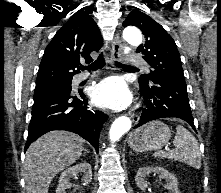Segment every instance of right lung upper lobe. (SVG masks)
Returning a JSON list of instances; mask_svg holds the SVG:
<instances>
[{
    "label": "right lung upper lobe",
    "instance_id": "right-lung-upper-lobe-1",
    "mask_svg": "<svg viewBox=\"0 0 221 193\" xmlns=\"http://www.w3.org/2000/svg\"><path fill=\"white\" fill-rule=\"evenodd\" d=\"M102 46L100 31L86 13H76L59 29L41 60L36 87L71 82L79 72L81 59L92 60L90 53Z\"/></svg>",
    "mask_w": 221,
    "mask_h": 193
}]
</instances>
